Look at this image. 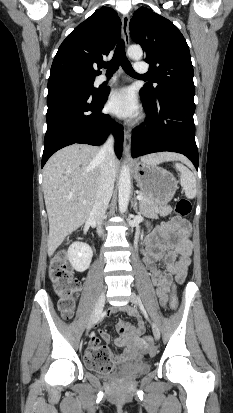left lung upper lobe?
Masks as SVG:
<instances>
[{
  "mask_svg": "<svg viewBox=\"0 0 233 413\" xmlns=\"http://www.w3.org/2000/svg\"><path fill=\"white\" fill-rule=\"evenodd\" d=\"M132 39L145 51V61L154 88L146 84L141 92L149 100L166 93L194 100L193 66L188 45L178 28L151 9L141 7L130 21Z\"/></svg>",
  "mask_w": 233,
  "mask_h": 413,
  "instance_id": "obj_1",
  "label": "left lung upper lobe"
}]
</instances>
